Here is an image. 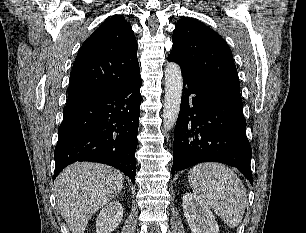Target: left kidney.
Here are the masks:
<instances>
[{"mask_svg":"<svg viewBox=\"0 0 306 233\" xmlns=\"http://www.w3.org/2000/svg\"><path fill=\"white\" fill-rule=\"evenodd\" d=\"M183 211L192 233H219L211 210L192 193L183 195Z\"/></svg>","mask_w":306,"mask_h":233,"instance_id":"5707ae66","label":"left kidney"}]
</instances>
